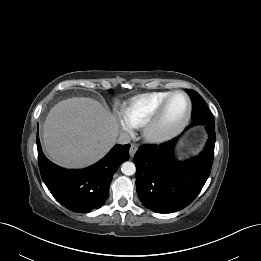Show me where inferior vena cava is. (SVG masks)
<instances>
[{
    "instance_id": "602c4592",
    "label": "inferior vena cava",
    "mask_w": 261,
    "mask_h": 261,
    "mask_svg": "<svg viewBox=\"0 0 261 261\" xmlns=\"http://www.w3.org/2000/svg\"><path fill=\"white\" fill-rule=\"evenodd\" d=\"M130 141H131V138H130L129 133H127V132L120 133V135L117 139V142L119 144H128V143H130Z\"/></svg>"
}]
</instances>
